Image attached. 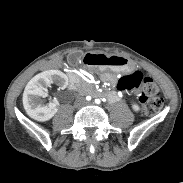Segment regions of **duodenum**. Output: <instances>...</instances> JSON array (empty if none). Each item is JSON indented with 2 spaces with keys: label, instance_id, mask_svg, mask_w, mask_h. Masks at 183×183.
Masks as SVG:
<instances>
[{
  "label": "duodenum",
  "instance_id": "1",
  "mask_svg": "<svg viewBox=\"0 0 183 183\" xmlns=\"http://www.w3.org/2000/svg\"><path fill=\"white\" fill-rule=\"evenodd\" d=\"M69 79H70L69 87H70V89H74L78 83V76L75 74H70Z\"/></svg>",
  "mask_w": 183,
  "mask_h": 183
}]
</instances>
